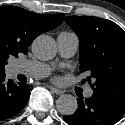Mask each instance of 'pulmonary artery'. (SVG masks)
Returning a JSON list of instances; mask_svg holds the SVG:
<instances>
[{
	"mask_svg": "<svg viewBox=\"0 0 125 125\" xmlns=\"http://www.w3.org/2000/svg\"><path fill=\"white\" fill-rule=\"evenodd\" d=\"M58 51L62 57H72L79 46V39L71 32H61L57 36ZM16 74H24L36 79L47 77L51 73L49 65L39 61H20L15 66ZM93 94L91 89H87L85 95L90 97Z\"/></svg>",
	"mask_w": 125,
	"mask_h": 125,
	"instance_id": "e3ab8cb5",
	"label": "pulmonary artery"
}]
</instances>
